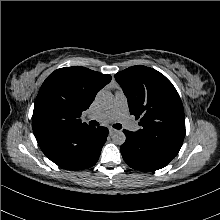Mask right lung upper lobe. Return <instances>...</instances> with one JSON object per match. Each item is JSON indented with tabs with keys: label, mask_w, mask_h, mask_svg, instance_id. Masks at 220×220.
Segmentation results:
<instances>
[{
	"label": "right lung upper lobe",
	"mask_w": 220,
	"mask_h": 220,
	"mask_svg": "<svg viewBox=\"0 0 220 220\" xmlns=\"http://www.w3.org/2000/svg\"><path fill=\"white\" fill-rule=\"evenodd\" d=\"M112 77L85 67H64L51 73L42 84L34 104L33 132L38 143L89 128L81 122L97 92Z\"/></svg>",
	"instance_id": "obj_1"
}]
</instances>
